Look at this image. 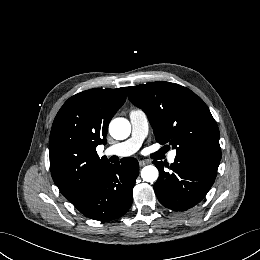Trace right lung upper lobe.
Segmentation results:
<instances>
[{"label":"right lung upper lobe","mask_w":260,"mask_h":260,"mask_svg":"<svg viewBox=\"0 0 260 260\" xmlns=\"http://www.w3.org/2000/svg\"><path fill=\"white\" fill-rule=\"evenodd\" d=\"M127 88L90 89L69 98L51 129L49 150L52 178L62 194L77 202L103 167L96 147L106 143L110 120L126 100Z\"/></svg>","instance_id":"cb5924a9"}]
</instances>
